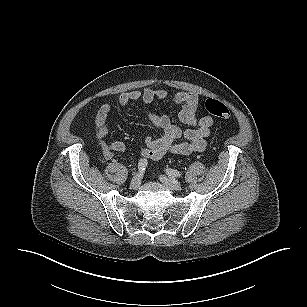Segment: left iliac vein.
Segmentation results:
<instances>
[{
	"instance_id": "obj_1",
	"label": "left iliac vein",
	"mask_w": 307,
	"mask_h": 307,
	"mask_svg": "<svg viewBox=\"0 0 307 307\" xmlns=\"http://www.w3.org/2000/svg\"><path fill=\"white\" fill-rule=\"evenodd\" d=\"M160 181L169 189L174 191H180L182 189V185L175 179H170L166 176L161 175L159 177Z\"/></svg>"
}]
</instances>
